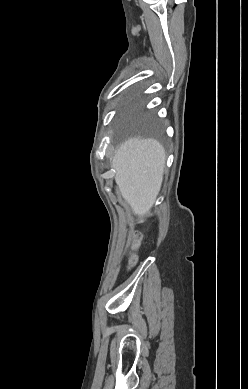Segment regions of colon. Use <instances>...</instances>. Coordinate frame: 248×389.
<instances>
[{
    "instance_id": "colon-1",
    "label": "colon",
    "mask_w": 248,
    "mask_h": 389,
    "mask_svg": "<svg viewBox=\"0 0 248 389\" xmlns=\"http://www.w3.org/2000/svg\"><path fill=\"white\" fill-rule=\"evenodd\" d=\"M139 246H140V239L139 237L135 236L132 240V249L135 251ZM135 262H136V255L135 253H132L128 261V266L134 265Z\"/></svg>"
}]
</instances>
